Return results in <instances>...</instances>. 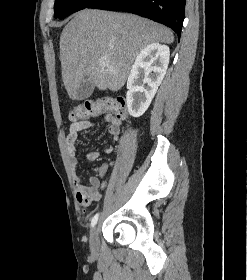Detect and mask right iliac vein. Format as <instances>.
I'll return each mask as SVG.
<instances>
[{"instance_id": "right-iliac-vein-1", "label": "right iliac vein", "mask_w": 247, "mask_h": 280, "mask_svg": "<svg viewBox=\"0 0 247 280\" xmlns=\"http://www.w3.org/2000/svg\"><path fill=\"white\" fill-rule=\"evenodd\" d=\"M90 249L93 253H96L99 248V241H98V228L94 227L90 233L89 239Z\"/></svg>"}]
</instances>
